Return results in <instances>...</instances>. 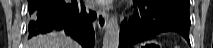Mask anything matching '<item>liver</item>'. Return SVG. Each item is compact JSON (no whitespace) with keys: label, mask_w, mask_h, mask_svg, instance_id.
Segmentation results:
<instances>
[{"label":"liver","mask_w":213,"mask_h":48,"mask_svg":"<svg viewBox=\"0 0 213 48\" xmlns=\"http://www.w3.org/2000/svg\"><path fill=\"white\" fill-rule=\"evenodd\" d=\"M25 48H81L80 45L66 34L49 33L32 38L25 44Z\"/></svg>","instance_id":"liver-1"}]
</instances>
